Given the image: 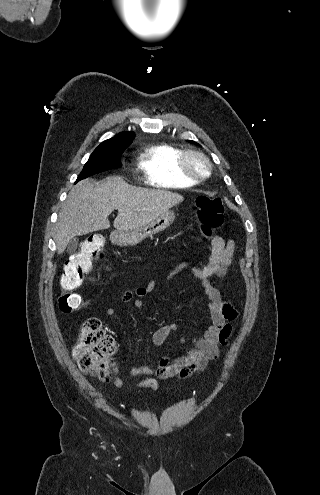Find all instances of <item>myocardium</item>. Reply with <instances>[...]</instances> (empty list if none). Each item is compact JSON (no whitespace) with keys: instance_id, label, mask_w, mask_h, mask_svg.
<instances>
[{"instance_id":"1","label":"myocardium","mask_w":320,"mask_h":495,"mask_svg":"<svg viewBox=\"0 0 320 495\" xmlns=\"http://www.w3.org/2000/svg\"><path fill=\"white\" fill-rule=\"evenodd\" d=\"M194 159H199L200 161H202V163L205 165L204 172H197L193 169L191 163ZM178 166L181 173L194 182H200L207 179L212 172V163L209 157L202 151L196 149L183 151L180 156Z\"/></svg>"}]
</instances>
